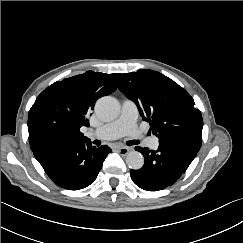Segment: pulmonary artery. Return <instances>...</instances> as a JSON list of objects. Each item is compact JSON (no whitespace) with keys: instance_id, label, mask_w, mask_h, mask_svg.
<instances>
[{"instance_id":"e3ab8cb5","label":"pulmonary artery","mask_w":243,"mask_h":243,"mask_svg":"<svg viewBox=\"0 0 243 243\" xmlns=\"http://www.w3.org/2000/svg\"><path fill=\"white\" fill-rule=\"evenodd\" d=\"M137 117L138 109L136 104L131 100H124L118 119L92 130L89 132V136L102 140H112L123 135L136 138L140 135V131L136 124ZM147 145L151 149L156 150L159 146L158 138L155 136L148 138Z\"/></svg>"}]
</instances>
